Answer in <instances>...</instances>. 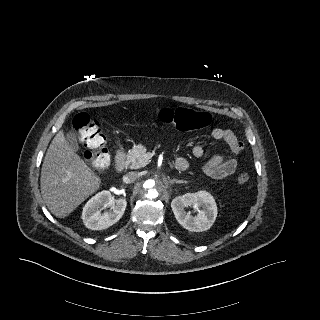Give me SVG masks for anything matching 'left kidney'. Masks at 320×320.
I'll return each mask as SVG.
<instances>
[{
    "label": "left kidney",
    "mask_w": 320,
    "mask_h": 320,
    "mask_svg": "<svg viewBox=\"0 0 320 320\" xmlns=\"http://www.w3.org/2000/svg\"><path fill=\"white\" fill-rule=\"evenodd\" d=\"M192 206L198 213L192 216L185 208ZM201 207L202 209H200ZM176 220L186 230L202 232L210 229L217 217V205L211 194L206 191L186 193L171 202Z\"/></svg>",
    "instance_id": "1"
}]
</instances>
